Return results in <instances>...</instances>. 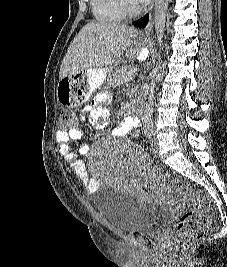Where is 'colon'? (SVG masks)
Wrapping results in <instances>:
<instances>
[{
	"label": "colon",
	"mask_w": 227,
	"mask_h": 267,
	"mask_svg": "<svg viewBox=\"0 0 227 267\" xmlns=\"http://www.w3.org/2000/svg\"><path fill=\"white\" fill-rule=\"evenodd\" d=\"M73 118L72 110H61V125L58 129L70 130ZM164 182L182 204L189 206L181 215L173 234L174 249L181 252L185 245L212 229L216 219L211 200L205 192L177 177L165 178Z\"/></svg>",
	"instance_id": "colon-1"
}]
</instances>
